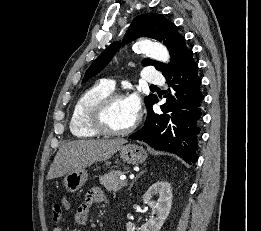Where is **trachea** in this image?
<instances>
[{
  "instance_id": "trachea-1",
  "label": "trachea",
  "mask_w": 261,
  "mask_h": 231,
  "mask_svg": "<svg viewBox=\"0 0 261 231\" xmlns=\"http://www.w3.org/2000/svg\"><path fill=\"white\" fill-rule=\"evenodd\" d=\"M150 87H156L155 85H151Z\"/></svg>"
}]
</instances>
